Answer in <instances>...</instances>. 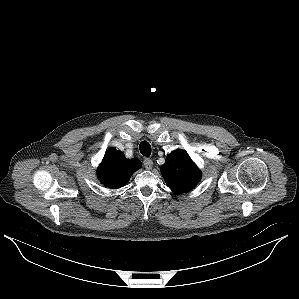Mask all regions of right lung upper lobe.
Returning a JSON list of instances; mask_svg holds the SVG:
<instances>
[{
  "label": "right lung upper lobe",
  "mask_w": 299,
  "mask_h": 299,
  "mask_svg": "<svg viewBox=\"0 0 299 299\" xmlns=\"http://www.w3.org/2000/svg\"><path fill=\"white\" fill-rule=\"evenodd\" d=\"M141 166L138 159H126L122 152L110 149L98 167L97 176L105 186L117 189L124 186Z\"/></svg>",
  "instance_id": "right-lung-upper-lobe-1"
}]
</instances>
